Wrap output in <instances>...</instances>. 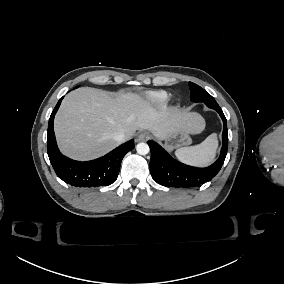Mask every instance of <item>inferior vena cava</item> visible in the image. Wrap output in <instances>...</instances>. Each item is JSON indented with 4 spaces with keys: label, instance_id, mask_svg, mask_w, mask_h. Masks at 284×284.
Returning a JSON list of instances; mask_svg holds the SVG:
<instances>
[{
    "label": "inferior vena cava",
    "instance_id": "obj_1",
    "mask_svg": "<svg viewBox=\"0 0 284 284\" xmlns=\"http://www.w3.org/2000/svg\"><path fill=\"white\" fill-rule=\"evenodd\" d=\"M114 140L117 141L118 143H121L125 140L124 134L123 133H118L114 136Z\"/></svg>",
    "mask_w": 284,
    "mask_h": 284
}]
</instances>
